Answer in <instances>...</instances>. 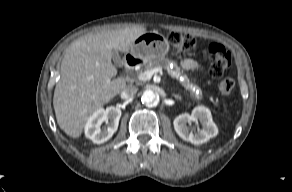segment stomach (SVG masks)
<instances>
[{"instance_id": "0dacf381", "label": "stomach", "mask_w": 292, "mask_h": 192, "mask_svg": "<svg viewBox=\"0 0 292 192\" xmlns=\"http://www.w3.org/2000/svg\"><path fill=\"white\" fill-rule=\"evenodd\" d=\"M168 51V40L157 31L146 32L141 35L131 47V54L145 62L161 59L165 57Z\"/></svg>"}]
</instances>
